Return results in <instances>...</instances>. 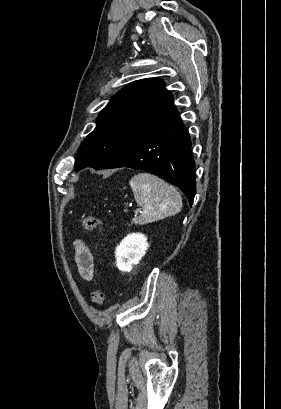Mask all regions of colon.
Here are the masks:
<instances>
[{"label":"colon","instance_id":"5ec220e1","mask_svg":"<svg viewBox=\"0 0 281 409\" xmlns=\"http://www.w3.org/2000/svg\"><path fill=\"white\" fill-rule=\"evenodd\" d=\"M85 230L94 231L95 229L101 228L100 221L92 215H82L80 218ZM94 306L99 309L104 303V292L100 285H97L93 293Z\"/></svg>","mask_w":281,"mask_h":409}]
</instances>
